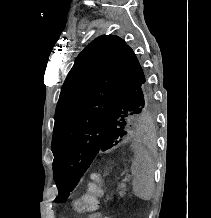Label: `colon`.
<instances>
[{
	"instance_id": "colon-1",
	"label": "colon",
	"mask_w": 211,
	"mask_h": 218,
	"mask_svg": "<svg viewBox=\"0 0 211 218\" xmlns=\"http://www.w3.org/2000/svg\"><path fill=\"white\" fill-rule=\"evenodd\" d=\"M92 179L94 182L90 186L89 193L75 202V208L77 210L88 211L96 207L97 197L100 194V187L98 185L100 179L99 175L93 174ZM104 218H111V217L105 216Z\"/></svg>"
}]
</instances>
